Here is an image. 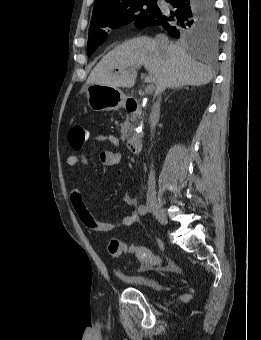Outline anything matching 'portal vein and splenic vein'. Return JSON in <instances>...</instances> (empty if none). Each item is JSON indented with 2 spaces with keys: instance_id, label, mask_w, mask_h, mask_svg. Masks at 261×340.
<instances>
[{
  "instance_id": "18ae733b",
  "label": "portal vein and splenic vein",
  "mask_w": 261,
  "mask_h": 340,
  "mask_svg": "<svg viewBox=\"0 0 261 340\" xmlns=\"http://www.w3.org/2000/svg\"><path fill=\"white\" fill-rule=\"evenodd\" d=\"M154 89H155L154 85H153V84H150V85H148V86L146 87L145 93H146V94H151V93H153Z\"/></svg>"
}]
</instances>
